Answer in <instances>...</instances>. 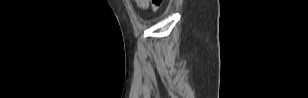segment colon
I'll use <instances>...</instances> for the list:
<instances>
[{
  "label": "colon",
  "mask_w": 308,
  "mask_h": 98,
  "mask_svg": "<svg viewBox=\"0 0 308 98\" xmlns=\"http://www.w3.org/2000/svg\"><path fill=\"white\" fill-rule=\"evenodd\" d=\"M162 2L163 0H136L137 5H140L144 8L150 5L153 11H157Z\"/></svg>",
  "instance_id": "1"
}]
</instances>
